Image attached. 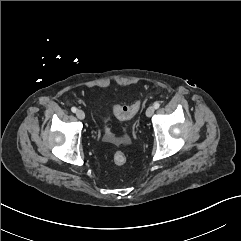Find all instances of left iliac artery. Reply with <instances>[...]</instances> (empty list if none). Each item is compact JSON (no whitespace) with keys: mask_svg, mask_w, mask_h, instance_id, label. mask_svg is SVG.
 Masks as SVG:
<instances>
[{"mask_svg":"<svg viewBox=\"0 0 241 241\" xmlns=\"http://www.w3.org/2000/svg\"><path fill=\"white\" fill-rule=\"evenodd\" d=\"M159 106H160V103H159V102H155V103H154V108H155V109H158Z\"/></svg>","mask_w":241,"mask_h":241,"instance_id":"44dca946","label":"left iliac artery"}]
</instances>
